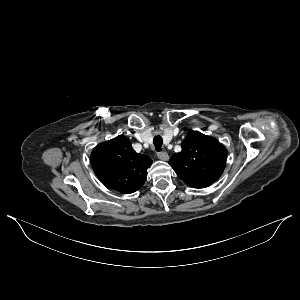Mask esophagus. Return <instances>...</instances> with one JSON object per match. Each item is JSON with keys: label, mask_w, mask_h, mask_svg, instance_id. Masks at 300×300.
I'll return each mask as SVG.
<instances>
[{"label": "esophagus", "mask_w": 300, "mask_h": 300, "mask_svg": "<svg viewBox=\"0 0 300 300\" xmlns=\"http://www.w3.org/2000/svg\"><path fill=\"white\" fill-rule=\"evenodd\" d=\"M157 156L160 160L167 161L169 159V155L167 152H158Z\"/></svg>", "instance_id": "1"}]
</instances>
